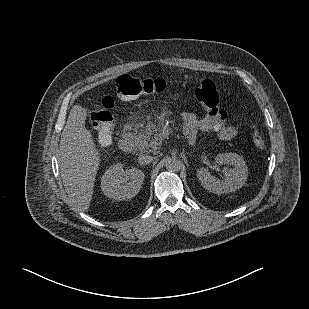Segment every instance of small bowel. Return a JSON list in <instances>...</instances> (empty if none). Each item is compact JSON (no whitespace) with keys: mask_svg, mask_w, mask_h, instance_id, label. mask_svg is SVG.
I'll use <instances>...</instances> for the list:
<instances>
[{"mask_svg":"<svg viewBox=\"0 0 309 309\" xmlns=\"http://www.w3.org/2000/svg\"><path fill=\"white\" fill-rule=\"evenodd\" d=\"M183 123L184 134L189 142H194L199 132L213 131L223 141H229L237 134V129L224 121L212 117L199 118L194 113H186L183 116Z\"/></svg>","mask_w":309,"mask_h":309,"instance_id":"c3829d8e","label":"small bowel"}]
</instances>
